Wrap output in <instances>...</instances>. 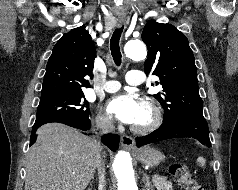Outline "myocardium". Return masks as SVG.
Returning a JSON list of instances; mask_svg holds the SVG:
<instances>
[{
    "instance_id": "obj_1",
    "label": "myocardium",
    "mask_w": 238,
    "mask_h": 190,
    "mask_svg": "<svg viewBox=\"0 0 238 190\" xmlns=\"http://www.w3.org/2000/svg\"><path fill=\"white\" fill-rule=\"evenodd\" d=\"M140 104L146 107L150 114V119L143 125H132L131 130L136 134H148L156 130L162 122V112L158 104L150 97H141Z\"/></svg>"
}]
</instances>
